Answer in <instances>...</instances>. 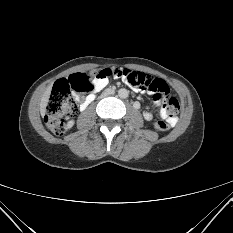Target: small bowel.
Here are the masks:
<instances>
[{"instance_id": "1", "label": "small bowel", "mask_w": 233, "mask_h": 233, "mask_svg": "<svg viewBox=\"0 0 233 233\" xmlns=\"http://www.w3.org/2000/svg\"><path fill=\"white\" fill-rule=\"evenodd\" d=\"M108 81H109V78L108 77H102V76H97L94 78L93 80V93L101 90L102 88H104L107 84H108ZM162 81V80H161ZM93 99V94L85 97V98H82L81 100V109H85L89 103L92 101ZM143 116L146 120H152L153 119V115L152 113L150 112H144L143 113ZM159 117L163 120H167V122L170 124V125H175L177 120L176 118L174 117H169L165 108H161L160 111H159Z\"/></svg>"}]
</instances>
